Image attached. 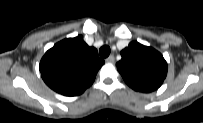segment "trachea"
Returning a JSON list of instances; mask_svg holds the SVG:
<instances>
[{
  "instance_id": "3493384b",
  "label": "trachea",
  "mask_w": 203,
  "mask_h": 123,
  "mask_svg": "<svg viewBox=\"0 0 203 123\" xmlns=\"http://www.w3.org/2000/svg\"><path fill=\"white\" fill-rule=\"evenodd\" d=\"M110 47H108V46H102L101 48H100V50H99V54H100V56L102 57V58H106V57H108L109 56V54H110Z\"/></svg>"
}]
</instances>
